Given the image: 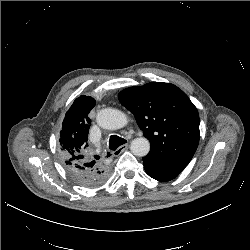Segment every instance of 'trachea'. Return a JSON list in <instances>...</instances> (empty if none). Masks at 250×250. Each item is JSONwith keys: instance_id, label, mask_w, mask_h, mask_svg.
<instances>
[{"instance_id": "obj_1", "label": "trachea", "mask_w": 250, "mask_h": 250, "mask_svg": "<svg viewBox=\"0 0 250 250\" xmlns=\"http://www.w3.org/2000/svg\"><path fill=\"white\" fill-rule=\"evenodd\" d=\"M126 142L127 141L122 137H119L117 135H111L109 140V149L111 151H115L119 146L125 144ZM107 154L110 155V153ZM96 159H99V157L96 156Z\"/></svg>"}]
</instances>
